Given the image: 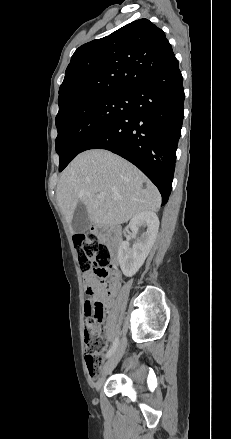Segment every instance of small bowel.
Masks as SVG:
<instances>
[{
    "label": "small bowel",
    "instance_id": "obj_1",
    "mask_svg": "<svg viewBox=\"0 0 231 439\" xmlns=\"http://www.w3.org/2000/svg\"><path fill=\"white\" fill-rule=\"evenodd\" d=\"M84 281L86 284V292L91 291L92 295L97 297L102 303L103 307L108 306L110 302V290L103 291L99 286V280L93 273H85ZM105 348H103L104 350Z\"/></svg>",
    "mask_w": 231,
    "mask_h": 439
}]
</instances>
